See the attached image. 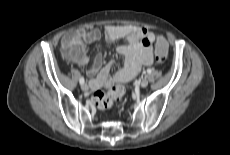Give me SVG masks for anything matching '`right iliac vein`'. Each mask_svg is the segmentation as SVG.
I'll list each match as a JSON object with an SVG mask.
<instances>
[{
	"label": "right iliac vein",
	"mask_w": 230,
	"mask_h": 155,
	"mask_svg": "<svg viewBox=\"0 0 230 155\" xmlns=\"http://www.w3.org/2000/svg\"><path fill=\"white\" fill-rule=\"evenodd\" d=\"M81 89H82L83 91H87V90H88V85H87L86 83H83V84L81 85Z\"/></svg>",
	"instance_id": "right-iliac-vein-1"
}]
</instances>
